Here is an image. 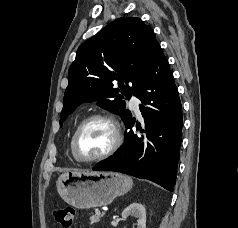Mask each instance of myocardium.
I'll return each mask as SVG.
<instances>
[{"instance_id": "f54148a6", "label": "myocardium", "mask_w": 238, "mask_h": 228, "mask_svg": "<svg viewBox=\"0 0 238 228\" xmlns=\"http://www.w3.org/2000/svg\"><path fill=\"white\" fill-rule=\"evenodd\" d=\"M95 120H102L105 121L106 123H108L112 130H113V142L110 145V147L103 152L102 154L93 157V158H81L78 156L77 154V139L79 137V134L81 132V130L90 122L95 121ZM122 143V134H121V129L119 126V123L117 122V120L106 113H93L88 115L87 117H85L76 127L75 132L73 133L72 139H71V152L73 154V157L75 158V160H77L78 162L81 163H94V162H98V161H102L106 158H108L109 156H111L112 154H114L119 147L121 146Z\"/></svg>"}]
</instances>
